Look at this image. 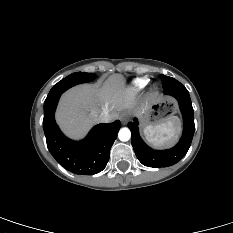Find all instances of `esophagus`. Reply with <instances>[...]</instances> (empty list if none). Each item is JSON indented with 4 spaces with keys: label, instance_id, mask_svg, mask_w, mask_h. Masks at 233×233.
I'll list each match as a JSON object with an SVG mask.
<instances>
[{
    "label": "esophagus",
    "instance_id": "esophagus-1",
    "mask_svg": "<svg viewBox=\"0 0 233 233\" xmlns=\"http://www.w3.org/2000/svg\"><path fill=\"white\" fill-rule=\"evenodd\" d=\"M128 119H129V116L126 112H124L120 115V120H121L123 125H125L128 122Z\"/></svg>",
    "mask_w": 233,
    "mask_h": 233
}]
</instances>
